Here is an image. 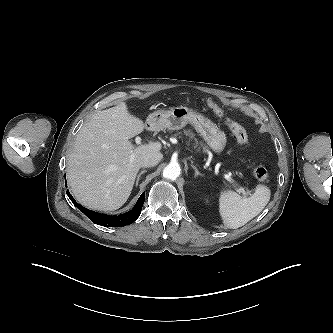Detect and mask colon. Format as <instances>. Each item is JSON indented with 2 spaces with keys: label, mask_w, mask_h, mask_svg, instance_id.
<instances>
[{
  "label": "colon",
  "mask_w": 333,
  "mask_h": 333,
  "mask_svg": "<svg viewBox=\"0 0 333 333\" xmlns=\"http://www.w3.org/2000/svg\"><path fill=\"white\" fill-rule=\"evenodd\" d=\"M207 105L213 110V112L223 118L234 135L235 139L240 145H246L248 142V136L245 129L236 121L228 118L224 111L212 100H206ZM253 175L258 181H266L268 178V171L264 166H256L253 169Z\"/></svg>",
  "instance_id": "colon-1"
}]
</instances>
